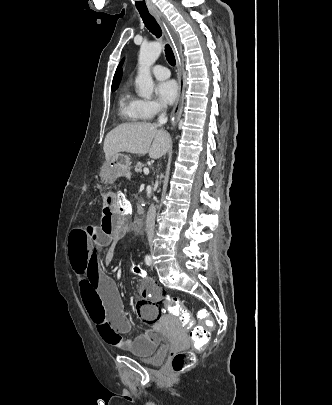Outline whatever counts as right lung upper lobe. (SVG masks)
Listing matches in <instances>:
<instances>
[{
  "mask_svg": "<svg viewBox=\"0 0 332 405\" xmlns=\"http://www.w3.org/2000/svg\"><path fill=\"white\" fill-rule=\"evenodd\" d=\"M122 62L123 61H121L120 65L118 66V68H117V70L115 72L113 82H112V87L118 85L119 82H120L121 74H122V69H121Z\"/></svg>",
  "mask_w": 332,
  "mask_h": 405,
  "instance_id": "cb5924a9",
  "label": "right lung upper lobe"
}]
</instances>
